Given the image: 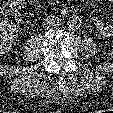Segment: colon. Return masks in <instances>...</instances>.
<instances>
[{
  "mask_svg": "<svg viewBox=\"0 0 113 113\" xmlns=\"http://www.w3.org/2000/svg\"><path fill=\"white\" fill-rule=\"evenodd\" d=\"M25 1L29 0H0V47L7 40L5 30L10 31L15 26L14 14L20 12Z\"/></svg>",
  "mask_w": 113,
  "mask_h": 113,
  "instance_id": "1",
  "label": "colon"
}]
</instances>
